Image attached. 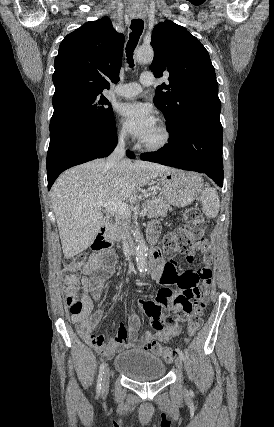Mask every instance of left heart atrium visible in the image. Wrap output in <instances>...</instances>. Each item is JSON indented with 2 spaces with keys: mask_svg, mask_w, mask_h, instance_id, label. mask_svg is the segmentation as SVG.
I'll use <instances>...</instances> for the list:
<instances>
[{
  "mask_svg": "<svg viewBox=\"0 0 274 427\" xmlns=\"http://www.w3.org/2000/svg\"><path fill=\"white\" fill-rule=\"evenodd\" d=\"M117 114L124 129L140 140L144 139L157 123L152 108L141 102L121 104Z\"/></svg>",
  "mask_w": 274,
  "mask_h": 427,
  "instance_id": "1",
  "label": "left heart atrium"
}]
</instances>
